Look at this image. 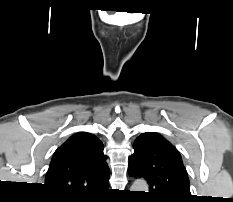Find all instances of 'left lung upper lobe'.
<instances>
[{
    "label": "left lung upper lobe",
    "mask_w": 233,
    "mask_h": 202,
    "mask_svg": "<svg viewBox=\"0 0 233 202\" xmlns=\"http://www.w3.org/2000/svg\"><path fill=\"white\" fill-rule=\"evenodd\" d=\"M128 173L149 184V198L156 202L191 199L187 171L178 150L162 136L146 132L134 142Z\"/></svg>",
    "instance_id": "obj_1"
}]
</instances>
